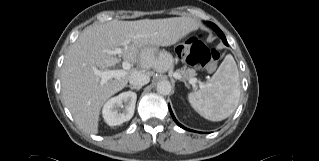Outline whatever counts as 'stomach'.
Returning <instances> with one entry per match:
<instances>
[{"label": "stomach", "instance_id": "0dacf381", "mask_svg": "<svg viewBox=\"0 0 319 161\" xmlns=\"http://www.w3.org/2000/svg\"><path fill=\"white\" fill-rule=\"evenodd\" d=\"M141 57L154 62L157 68L162 72L171 69L174 63L173 57L169 52L161 50L156 46H147L143 48Z\"/></svg>", "mask_w": 319, "mask_h": 161}]
</instances>
